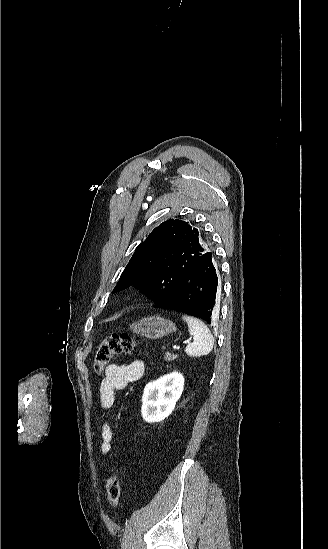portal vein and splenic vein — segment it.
Wrapping results in <instances>:
<instances>
[{
    "instance_id": "1",
    "label": "portal vein and splenic vein",
    "mask_w": 328,
    "mask_h": 549,
    "mask_svg": "<svg viewBox=\"0 0 328 549\" xmlns=\"http://www.w3.org/2000/svg\"><path fill=\"white\" fill-rule=\"evenodd\" d=\"M184 343H191V339L188 340V341H184ZM174 349H175V350H180V347H178V345H175V346H174Z\"/></svg>"
}]
</instances>
